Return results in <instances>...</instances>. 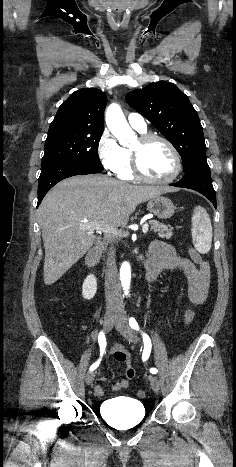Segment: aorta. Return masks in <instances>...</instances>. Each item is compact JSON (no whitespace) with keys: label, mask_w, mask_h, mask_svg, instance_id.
Instances as JSON below:
<instances>
[{"label":"aorta","mask_w":236,"mask_h":467,"mask_svg":"<svg viewBox=\"0 0 236 467\" xmlns=\"http://www.w3.org/2000/svg\"><path fill=\"white\" fill-rule=\"evenodd\" d=\"M105 121L108 129L118 139L119 143L124 146L129 145L134 137V132L118 104L112 103L107 107ZM120 280L125 294H128L131 282V267L128 262H123L121 265Z\"/></svg>","instance_id":"obj_1"}]
</instances>
